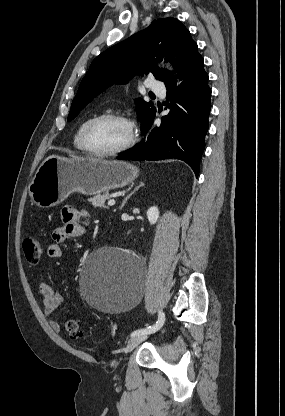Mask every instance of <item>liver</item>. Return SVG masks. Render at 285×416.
<instances>
[{
    "mask_svg": "<svg viewBox=\"0 0 285 416\" xmlns=\"http://www.w3.org/2000/svg\"><path fill=\"white\" fill-rule=\"evenodd\" d=\"M71 158H77V160H80L79 156H71ZM86 158H89V156H86Z\"/></svg>",
    "mask_w": 285,
    "mask_h": 416,
    "instance_id": "liver-1",
    "label": "liver"
}]
</instances>
